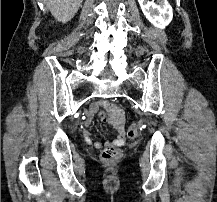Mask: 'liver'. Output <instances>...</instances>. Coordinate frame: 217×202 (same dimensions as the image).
<instances>
[{
	"label": "liver",
	"mask_w": 217,
	"mask_h": 202,
	"mask_svg": "<svg viewBox=\"0 0 217 202\" xmlns=\"http://www.w3.org/2000/svg\"><path fill=\"white\" fill-rule=\"evenodd\" d=\"M57 22H70L77 14L83 0H43Z\"/></svg>",
	"instance_id": "liver-1"
}]
</instances>
